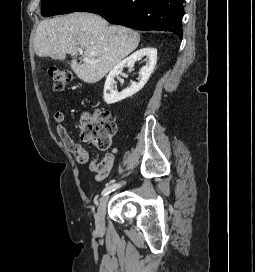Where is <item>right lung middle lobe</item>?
I'll list each match as a JSON object with an SVG mask.
<instances>
[{"label":"right lung middle lobe","instance_id":"right-lung-middle-lobe-1","mask_svg":"<svg viewBox=\"0 0 255 272\" xmlns=\"http://www.w3.org/2000/svg\"><path fill=\"white\" fill-rule=\"evenodd\" d=\"M92 0H42L44 17L67 14L80 10Z\"/></svg>","mask_w":255,"mask_h":272}]
</instances>
